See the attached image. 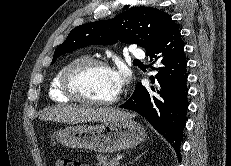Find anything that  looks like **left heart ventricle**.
<instances>
[{"instance_id": "b2bd125f", "label": "left heart ventricle", "mask_w": 231, "mask_h": 166, "mask_svg": "<svg viewBox=\"0 0 231 166\" xmlns=\"http://www.w3.org/2000/svg\"><path fill=\"white\" fill-rule=\"evenodd\" d=\"M74 84L79 92L92 99L110 100L118 94L112 71L101 67H90L81 71Z\"/></svg>"}]
</instances>
